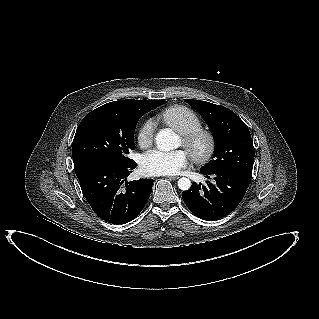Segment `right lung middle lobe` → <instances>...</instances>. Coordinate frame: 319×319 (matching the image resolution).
Here are the masks:
<instances>
[{
	"instance_id": "obj_1",
	"label": "right lung middle lobe",
	"mask_w": 319,
	"mask_h": 319,
	"mask_svg": "<svg viewBox=\"0 0 319 319\" xmlns=\"http://www.w3.org/2000/svg\"><path fill=\"white\" fill-rule=\"evenodd\" d=\"M166 103L164 100L103 105L88 113L72 143L75 172L95 162L125 164L134 149V128L141 116Z\"/></svg>"
}]
</instances>
